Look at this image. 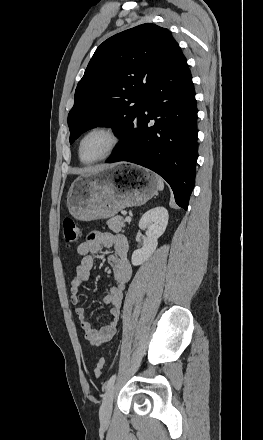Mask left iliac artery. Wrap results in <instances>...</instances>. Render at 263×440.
Masks as SVG:
<instances>
[{"label": "left iliac artery", "mask_w": 263, "mask_h": 440, "mask_svg": "<svg viewBox=\"0 0 263 440\" xmlns=\"http://www.w3.org/2000/svg\"><path fill=\"white\" fill-rule=\"evenodd\" d=\"M115 379H116V374H114L110 377V379L107 381L106 386H105L106 390H109L111 388V386L115 382Z\"/></svg>", "instance_id": "1"}]
</instances>
